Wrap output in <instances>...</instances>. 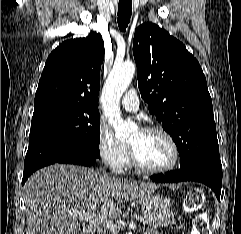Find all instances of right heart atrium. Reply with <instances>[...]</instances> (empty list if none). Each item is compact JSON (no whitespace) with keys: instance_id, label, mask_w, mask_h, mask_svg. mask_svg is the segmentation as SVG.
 Listing matches in <instances>:
<instances>
[{"instance_id":"obj_1","label":"right heart atrium","mask_w":241,"mask_h":234,"mask_svg":"<svg viewBox=\"0 0 241 234\" xmlns=\"http://www.w3.org/2000/svg\"><path fill=\"white\" fill-rule=\"evenodd\" d=\"M97 150L102 161L111 170L119 172L123 169L128 148L105 124H101L98 128Z\"/></svg>"}]
</instances>
